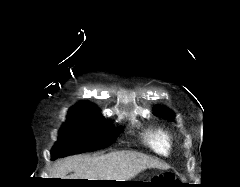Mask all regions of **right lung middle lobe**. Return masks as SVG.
Instances as JSON below:
<instances>
[{
    "label": "right lung middle lobe",
    "mask_w": 240,
    "mask_h": 187,
    "mask_svg": "<svg viewBox=\"0 0 240 187\" xmlns=\"http://www.w3.org/2000/svg\"><path fill=\"white\" fill-rule=\"evenodd\" d=\"M121 131V127L113 128L99 113L69 112L51 151V159L104 148Z\"/></svg>",
    "instance_id": "1"
}]
</instances>
